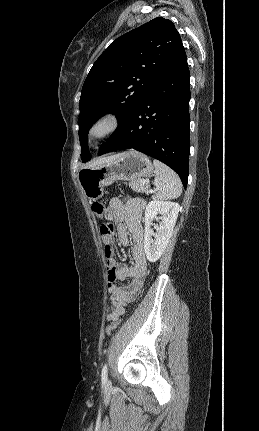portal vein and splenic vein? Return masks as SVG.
Segmentation results:
<instances>
[{
  "mask_svg": "<svg viewBox=\"0 0 259 431\" xmlns=\"http://www.w3.org/2000/svg\"><path fill=\"white\" fill-rule=\"evenodd\" d=\"M141 182H142L143 184H145V183H146V181H145V180H141Z\"/></svg>",
  "mask_w": 259,
  "mask_h": 431,
  "instance_id": "obj_1",
  "label": "portal vein and splenic vein"
}]
</instances>
